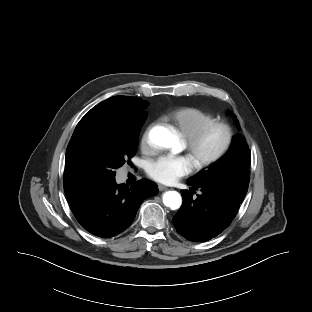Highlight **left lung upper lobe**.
I'll list each match as a JSON object with an SVG mask.
<instances>
[{
    "instance_id": "left-lung-upper-lobe-1",
    "label": "left lung upper lobe",
    "mask_w": 312,
    "mask_h": 312,
    "mask_svg": "<svg viewBox=\"0 0 312 312\" xmlns=\"http://www.w3.org/2000/svg\"><path fill=\"white\" fill-rule=\"evenodd\" d=\"M250 162L251 153L248 145L244 137L241 134H237L224 157L188 181L193 184L220 186L228 190L235 199L242 202L248 190Z\"/></svg>"
}]
</instances>
